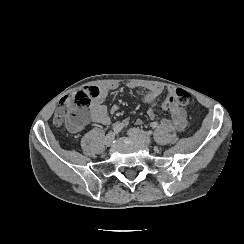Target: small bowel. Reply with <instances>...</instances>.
<instances>
[{
  "label": "small bowel",
  "mask_w": 244,
  "mask_h": 244,
  "mask_svg": "<svg viewBox=\"0 0 244 244\" xmlns=\"http://www.w3.org/2000/svg\"><path fill=\"white\" fill-rule=\"evenodd\" d=\"M99 88L98 97L90 104L92 110V119L90 122L108 125L111 121L109 112L104 105V101L107 96L117 88L116 83H104ZM163 92V88L155 86L149 89L144 95L146 102L148 103V116L153 119L155 117V106L158 97ZM162 108L169 111L171 119H166L162 122V126L167 130L183 131L187 126V113L184 108L177 106L173 101V89H168V97L162 102Z\"/></svg>",
  "instance_id": "obj_1"
}]
</instances>
